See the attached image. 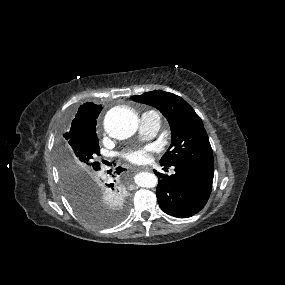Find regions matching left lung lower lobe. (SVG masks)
<instances>
[{"instance_id":"obj_1","label":"left lung lower lobe","mask_w":285,"mask_h":285,"mask_svg":"<svg viewBox=\"0 0 285 285\" xmlns=\"http://www.w3.org/2000/svg\"><path fill=\"white\" fill-rule=\"evenodd\" d=\"M176 173L157 174L156 191L161 209L172 216L188 218L199 212L211 193L214 165H177Z\"/></svg>"}]
</instances>
